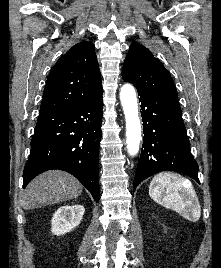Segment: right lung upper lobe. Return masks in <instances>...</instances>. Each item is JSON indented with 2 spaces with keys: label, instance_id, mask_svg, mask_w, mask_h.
Segmentation results:
<instances>
[{
  "label": "right lung upper lobe",
  "instance_id": "obj_1",
  "mask_svg": "<svg viewBox=\"0 0 221 268\" xmlns=\"http://www.w3.org/2000/svg\"><path fill=\"white\" fill-rule=\"evenodd\" d=\"M102 93L95 47L82 41L63 55L50 71L40 113L78 105Z\"/></svg>",
  "mask_w": 221,
  "mask_h": 268
}]
</instances>
